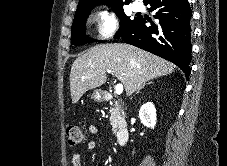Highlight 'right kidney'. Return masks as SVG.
I'll use <instances>...</instances> for the list:
<instances>
[{
	"label": "right kidney",
	"mask_w": 227,
	"mask_h": 166,
	"mask_svg": "<svg viewBox=\"0 0 227 166\" xmlns=\"http://www.w3.org/2000/svg\"><path fill=\"white\" fill-rule=\"evenodd\" d=\"M139 118L142 124L148 128H154L156 124V109L153 103L143 104L139 110Z\"/></svg>",
	"instance_id": "right-kidney-1"
}]
</instances>
